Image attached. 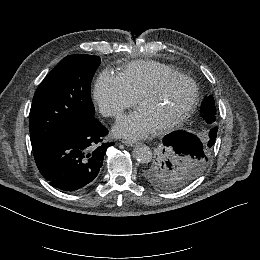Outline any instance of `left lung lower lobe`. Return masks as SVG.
I'll use <instances>...</instances> for the list:
<instances>
[{
    "mask_svg": "<svg viewBox=\"0 0 260 260\" xmlns=\"http://www.w3.org/2000/svg\"><path fill=\"white\" fill-rule=\"evenodd\" d=\"M210 104L205 98L201 107V115L205 121L210 119ZM218 128L214 127L210 131L208 144L214 145L216 141ZM163 143L173 149L175 152L183 155H200L204 153L205 145L202 140L190 132H173L164 137Z\"/></svg>",
    "mask_w": 260,
    "mask_h": 260,
    "instance_id": "left-lung-lower-lobe-1",
    "label": "left lung lower lobe"
}]
</instances>
